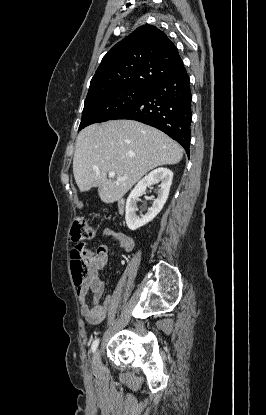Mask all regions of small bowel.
I'll return each instance as SVG.
<instances>
[{"instance_id": "c3829d8e", "label": "small bowel", "mask_w": 266, "mask_h": 415, "mask_svg": "<svg viewBox=\"0 0 266 415\" xmlns=\"http://www.w3.org/2000/svg\"><path fill=\"white\" fill-rule=\"evenodd\" d=\"M103 238L113 242L125 252H131L134 248L133 239L122 232L111 228L103 230ZM85 255L88 263L94 267L84 282L77 287V296L80 302L81 314L89 324L100 323L107 315L111 306L112 296L107 295L100 300L104 292V282L99 277V271L108 263V246L100 244L95 249H86ZM93 296V302H88V294Z\"/></svg>"}]
</instances>
